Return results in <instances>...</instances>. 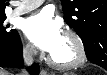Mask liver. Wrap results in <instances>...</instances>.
Listing matches in <instances>:
<instances>
[{
    "mask_svg": "<svg viewBox=\"0 0 107 75\" xmlns=\"http://www.w3.org/2000/svg\"><path fill=\"white\" fill-rule=\"evenodd\" d=\"M0 75H8V72L4 71V70H1L0 71Z\"/></svg>",
    "mask_w": 107,
    "mask_h": 75,
    "instance_id": "liver-1",
    "label": "liver"
}]
</instances>
